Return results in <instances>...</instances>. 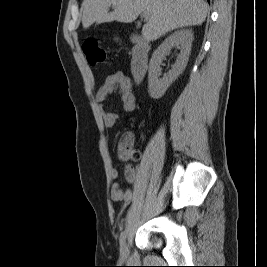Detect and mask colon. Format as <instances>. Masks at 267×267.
Segmentation results:
<instances>
[{
	"label": "colon",
	"mask_w": 267,
	"mask_h": 267,
	"mask_svg": "<svg viewBox=\"0 0 267 267\" xmlns=\"http://www.w3.org/2000/svg\"><path fill=\"white\" fill-rule=\"evenodd\" d=\"M83 52L91 66L98 65L105 61V51L95 40L85 41L83 44ZM117 154L118 157L124 161H136L140 158V151L136 148L131 135L125 134L120 138L117 145Z\"/></svg>",
	"instance_id": "1"
}]
</instances>
